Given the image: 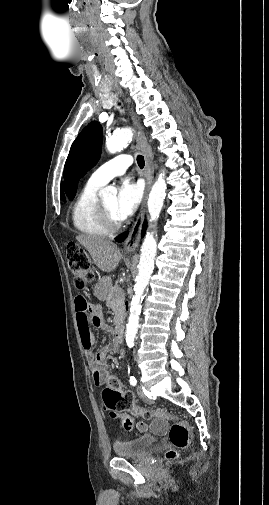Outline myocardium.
Listing matches in <instances>:
<instances>
[{"label": "myocardium", "instance_id": "myocardium-1", "mask_svg": "<svg viewBox=\"0 0 269 505\" xmlns=\"http://www.w3.org/2000/svg\"><path fill=\"white\" fill-rule=\"evenodd\" d=\"M99 213L102 219L103 224L109 231H116L121 228L122 222L121 220H115L106 207L104 206L101 200L98 201Z\"/></svg>", "mask_w": 269, "mask_h": 505}]
</instances>
